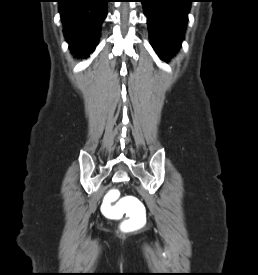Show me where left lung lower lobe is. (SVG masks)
I'll return each mask as SVG.
<instances>
[{
  "instance_id": "obj_1",
  "label": "left lung lower lobe",
  "mask_w": 258,
  "mask_h": 275,
  "mask_svg": "<svg viewBox=\"0 0 258 275\" xmlns=\"http://www.w3.org/2000/svg\"><path fill=\"white\" fill-rule=\"evenodd\" d=\"M152 46L166 60L179 50L184 39L191 0H141Z\"/></svg>"
}]
</instances>
